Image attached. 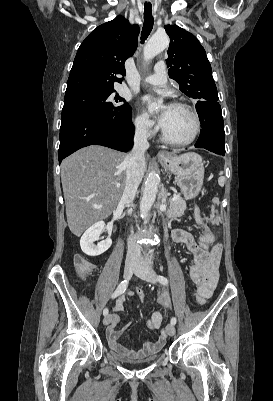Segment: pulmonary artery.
<instances>
[{"mask_svg": "<svg viewBox=\"0 0 273 401\" xmlns=\"http://www.w3.org/2000/svg\"><path fill=\"white\" fill-rule=\"evenodd\" d=\"M154 69V74L149 77V80L152 83H160V86H164V83L168 80L167 75H165L166 65L164 63H156Z\"/></svg>", "mask_w": 273, "mask_h": 401, "instance_id": "e3ab8cb5", "label": "pulmonary artery"}]
</instances>
